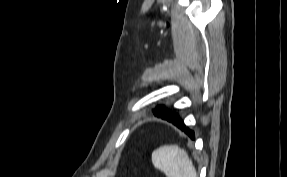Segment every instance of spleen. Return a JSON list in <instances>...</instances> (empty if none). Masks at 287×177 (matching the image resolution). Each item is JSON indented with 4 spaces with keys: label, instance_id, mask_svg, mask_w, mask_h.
Wrapping results in <instances>:
<instances>
[{
    "label": "spleen",
    "instance_id": "spleen-1",
    "mask_svg": "<svg viewBox=\"0 0 287 177\" xmlns=\"http://www.w3.org/2000/svg\"><path fill=\"white\" fill-rule=\"evenodd\" d=\"M152 163L167 177H197L187 152L177 145H164L154 150Z\"/></svg>",
    "mask_w": 287,
    "mask_h": 177
}]
</instances>
